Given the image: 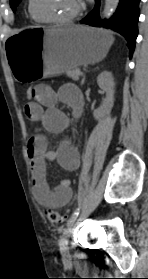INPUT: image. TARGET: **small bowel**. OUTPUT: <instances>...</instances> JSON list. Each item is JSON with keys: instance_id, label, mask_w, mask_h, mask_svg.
<instances>
[{"instance_id": "c3829d8e", "label": "small bowel", "mask_w": 148, "mask_h": 279, "mask_svg": "<svg viewBox=\"0 0 148 279\" xmlns=\"http://www.w3.org/2000/svg\"><path fill=\"white\" fill-rule=\"evenodd\" d=\"M36 97L24 106V113L29 121L40 122L51 133L65 131L69 117L61 111L58 101L71 108L75 115L82 109V96L73 85H64L58 91L50 86L39 84L35 86ZM27 153L31 161L33 193L37 202L46 208H59L68 204L72 198L71 182L64 179L54 187H50L46 178V161H56L64 169L73 171L78 168L80 156L77 149L68 141L62 142L56 150H49L47 140L42 135L29 139Z\"/></svg>"}]
</instances>
